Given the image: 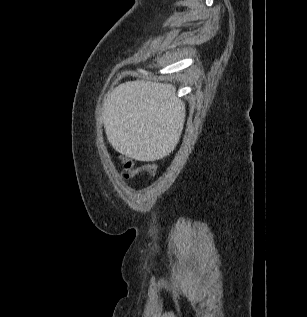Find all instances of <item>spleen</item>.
<instances>
[{"mask_svg":"<svg viewBox=\"0 0 307 317\" xmlns=\"http://www.w3.org/2000/svg\"><path fill=\"white\" fill-rule=\"evenodd\" d=\"M183 103L171 85L141 80L122 84L108 96L103 123L111 145L137 160H163L180 148L176 139Z\"/></svg>","mask_w":307,"mask_h":317,"instance_id":"spleen-1","label":"spleen"}]
</instances>
